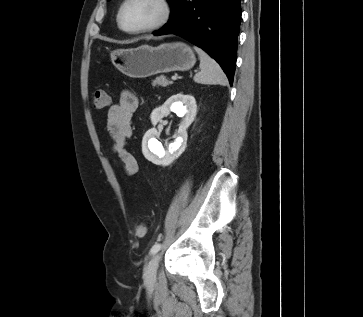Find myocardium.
<instances>
[{
	"mask_svg": "<svg viewBox=\"0 0 363 317\" xmlns=\"http://www.w3.org/2000/svg\"><path fill=\"white\" fill-rule=\"evenodd\" d=\"M130 1L131 0H123L118 9V13H117L118 26L125 33L134 34V35L150 33V32L159 30L162 27H164L171 18L172 7H171L169 0H156V2L159 4V6L161 8L160 17L156 21L151 23L150 25H147V26H144V27H141L138 29H127L123 25L122 17H123L124 9L129 4Z\"/></svg>",
	"mask_w": 363,
	"mask_h": 317,
	"instance_id": "obj_1",
	"label": "myocardium"
}]
</instances>
